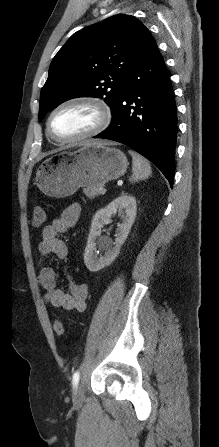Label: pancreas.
I'll use <instances>...</instances> for the list:
<instances>
[{
	"instance_id": "1",
	"label": "pancreas",
	"mask_w": 219,
	"mask_h": 447,
	"mask_svg": "<svg viewBox=\"0 0 219 447\" xmlns=\"http://www.w3.org/2000/svg\"><path fill=\"white\" fill-rule=\"evenodd\" d=\"M102 188V186H92V187H86L83 189V193L88 197V198H94L96 196H98L99 194H102L100 189Z\"/></svg>"
}]
</instances>
